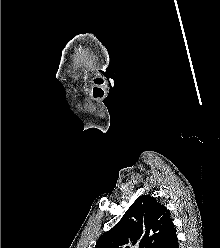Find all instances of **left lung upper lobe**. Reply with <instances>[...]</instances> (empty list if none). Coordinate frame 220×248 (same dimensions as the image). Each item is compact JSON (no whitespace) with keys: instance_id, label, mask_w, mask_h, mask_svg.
<instances>
[{"instance_id":"obj_1","label":"left lung upper lobe","mask_w":220,"mask_h":248,"mask_svg":"<svg viewBox=\"0 0 220 248\" xmlns=\"http://www.w3.org/2000/svg\"><path fill=\"white\" fill-rule=\"evenodd\" d=\"M174 224L165 206L149 195L138 197L95 248H161Z\"/></svg>"}]
</instances>
